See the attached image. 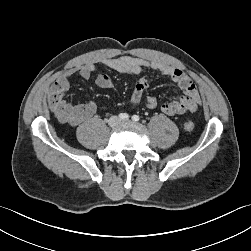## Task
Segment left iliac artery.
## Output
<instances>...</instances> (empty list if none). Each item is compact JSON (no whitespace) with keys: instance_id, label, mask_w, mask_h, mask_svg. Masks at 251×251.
Segmentation results:
<instances>
[{"instance_id":"44dca946","label":"left iliac artery","mask_w":251,"mask_h":251,"mask_svg":"<svg viewBox=\"0 0 251 251\" xmlns=\"http://www.w3.org/2000/svg\"><path fill=\"white\" fill-rule=\"evenodd\" d=\"M139 119H140V118H139L138 115H133V116H132V120L135 121V122L139 121Z\"/></svg>"}]
</instances>
